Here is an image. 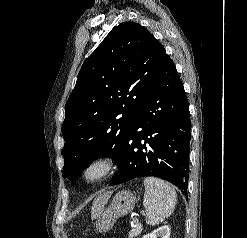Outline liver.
<instances>
[{"mask_svg": "<svg viewBox=\"0 0 247 238\" xmlns=\"http://www.w3.org/2000/svg\"><path fill=\"white\" fill-rule=\"evenodd\" d=\"M111 195L112 192H105L94 200L91 209L92 219L97 218L103 212L104 206L107 203L108 199L111 197Z\"/></svg>", "mask_w": 247, "mask_h": 238, "instance_id": "obj_1", "label": "liver"}]
</instances>
